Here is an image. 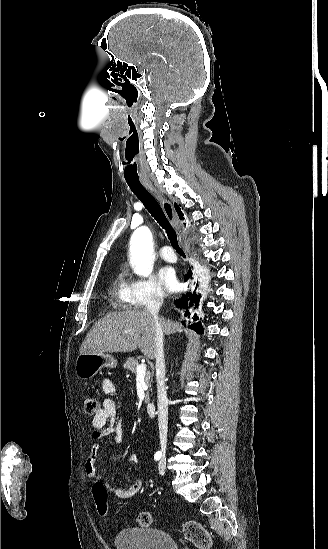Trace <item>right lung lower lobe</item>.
I'll use <instances>...</instances> for the list:
<instances>
[{"label": "right lung lower lobe", "instance_id": "98d812e1", "mask_svg": "<svg viewBox=\"0 0 328 549\" xmlns=\"http://www.w3.org/2000/svg\"><path fill=\"white\" fill-rule=\"evenodd\" d=\"M184 279L185 281H188L190 279H192V273L191 271H189L185 276H184ZM197 287V285H196ZM200 298H201V294H196V292L194 293H187L186 295L183 296V299H182V305L178 302L177 303V307L182 309L184 308L185 309V316L188 315V318L190 317L189 316V310L188 308L191 307L193 304L195 305H198L199 304V301H200ZM199 318L196 314H194L193 316V320L194 321H197ZM184 323V322H183ZM193 329H195L196 331H198L199 333H203V328H202V325H201V321H197V322H194L191 326H189Z\"/></svg>", "mask_w": 328, "mask_h": 549}]
</instances>
